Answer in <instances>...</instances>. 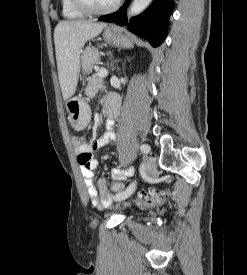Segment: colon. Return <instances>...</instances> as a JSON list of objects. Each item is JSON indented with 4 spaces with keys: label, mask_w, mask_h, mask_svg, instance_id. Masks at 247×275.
<instances>
[{
    "label": "colon",
    "mask_w": 247,
    "mask_h": 275,
    "mask_svg": "<svg viewBox=\"0 0 247 275\" xmlns=\"http://www.w3.org/2000/svg\"><path fill=\"white\" fill-rule=\"evenodd\" d=\"M71 141L76 149H79L84 145L83 138L78 135H74ZM109 189L113 194H119L126 191L124 190L123 184L120 182L112 183L109 186ZM165 200L166 192L164 190L159 191L155 189H148L146 191H141L138 194L136 203L141 207H152L164 203Z\"/></svg>",
    "instance_id": "colon-1"
}]
</instances>
